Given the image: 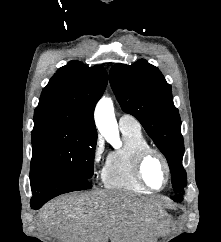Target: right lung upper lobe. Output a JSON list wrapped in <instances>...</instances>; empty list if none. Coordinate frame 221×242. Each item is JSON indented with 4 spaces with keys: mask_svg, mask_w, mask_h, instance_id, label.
<instances>
[{
    "mask_svg": "<svg viewBox=\"0 0 221 242\" xmlns=\"http://www.w3.org/2000/svg\"><path fill=\"white\" fill-rule=\"evenodd\" d=\"M108 76L102 66L71 61L61 67L43 89L34 113V127L73 125L96 132L94 108Z\"/></svg>",
    "mask_w": 221,
    "mask_h": 242,
    "instance_id": "cb5924a9",
    "label": "right lung upper lobe"
}]
</instances>
